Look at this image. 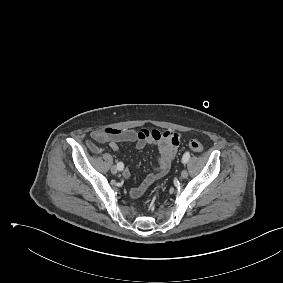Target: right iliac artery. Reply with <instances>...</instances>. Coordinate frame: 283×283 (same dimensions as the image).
I'll return each mask as SVG.
<instances>
[{
  "label": "right iliac artery",
  "instance_id": "82829eb1",
  "mask_svg": "<svg viewBox=\"0 0 283 283\" xmlns=\"http://www.w3.org/2000/svg\"><path fill=\"white\" fill-rule=\"evenodd\" d=\"M117 168L121 171L124 168V164L122 162L117 163Z\"/></svg>",
  "mask_w": 283,
  "mask_h": 283
}]
</instances>
